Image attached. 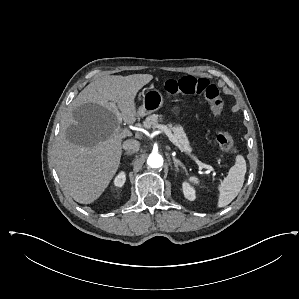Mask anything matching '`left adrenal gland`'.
Instances as JSON below:
<instances>
[{
	"label": "left adrenal gland",
	"mask_w": 299,
	"mask_h": 299,
	"mask_svg": "<svg viewBox=\"0 0 299 299\" xmlns=\"http://www.w3.org/2000/svg\"><path fill=\"white\" fill-rule=\"evenodd\" d=\"M173 161H174V166L176 167V170L178 171V166L182 167L183 170L186 171L185 166L182 164V162L180 160H178L177 158H175L174 156L172 157Z\"/></svg>",
	"instance_id": "left-adrenal-gland-1"
}]
</instances>
